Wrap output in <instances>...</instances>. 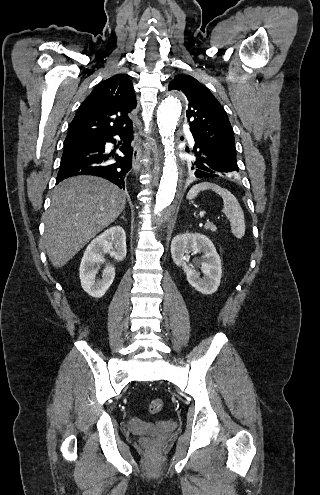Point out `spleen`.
I'll return each instance as SVG.
<instances>
[{
    "mask_svg": "<svg viewBox=\"0 0 320 495\" xmlns=\"http://www.w3.org/2000/svg\"><path fill=\"white\" fill-rule=\"evenodd\" d=\"M208 189L214 191L223 199V213L230 221L231 232L237 239H241L245 234L244 213L238 200L230 191L214 183L202 182L194 185L189 190L187 199H194L200 191Z\"/></svg>",
    "mask_w": 320,
    "mask_h": 495,
    "instance_id": "obj_1",
    "label": "spleen"
}]
</instances>
